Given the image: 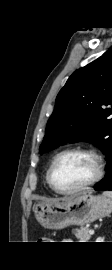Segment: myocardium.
Instances as JSON below:
<instances>
[{"mask_svg":"<svg viewBox=\"0 0 112 270\" xmlns=\"http://www.w3.org/2000/svg\"><path fill=\"white\" fill-rule=\"evenodd\" d=\"M71 153L84 154V155L91 157L95 163V175L88 182H86L78 187L68 189V190H62V189H59L54 184L52 173H53L54 166H55L56 162L59 160V158H61L62 156L66 155V154H71ZM104 173H105L104 159L101 156V154H99L96 150L91 149V148H84V147H71V148H67V149H64V150L58 152L53 157V159L49 165V168L47 170L46 179H47L49 186L57 194L72 195V194H76V193L82 192L84 190H87V189L93 187L94 185H96L104 177Z\"/></svg>","mask_w":112,"mask_h":270,"instance_id":"1","label":"myocardium"}]
</instances>
